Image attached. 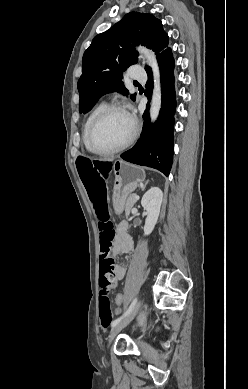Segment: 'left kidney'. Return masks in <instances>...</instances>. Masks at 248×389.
I'll list each match as a JSON object with an SVG mask.
<instances>
[{
	"instance_id": "1",
	"label": "left kidney",
	"mask_w": 248,
	"mask_h": 389,
	"mask_svg": "<svg viewBox=\"0 0 248 389\" xmlns=\"http://www.w3.org/2000/svg\"><path fill=\"white\" fill-rule=\"evenodd\" d=\"M163 193L158 187H151L142 197L141 205L147 212L144 225V234L149 235L158 220L162 204Z\"/></svg>"
}]
</instances>
